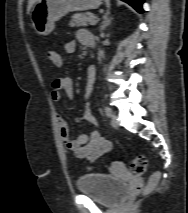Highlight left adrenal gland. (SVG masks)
<instances>
[{
    "instance_id": "1",
    "label": "left adrenal gland",
    "mask_w": 188,
    "mask_h": 213,
    "mask_svg": "<svg viewBox=\"0 0 188 213\" xmlns=\"http://www.w3.org/2000/svg\"><path fill=\"white\" fill-rule=\"evenodd\" d=\"M109 11H107L104 15H103V21L100 25V31H103L110 23H111V19L108 18L109 15Z\"/></svg>"
}]
</instances>
